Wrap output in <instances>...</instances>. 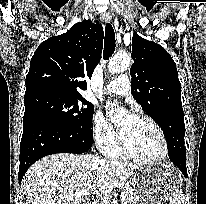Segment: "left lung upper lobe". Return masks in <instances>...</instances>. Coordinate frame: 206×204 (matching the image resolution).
Listing matches in <instances>:
<instances>
[{"label": "left lung upper lobe", "instance_id": "1", "mask_svg": "<svg viewBox=\"0 0 206 204\" xmlns=\"http://www.w3.org/2000/svg\"><path fill=\"white\" fill-rule=\"evenodd\" d=\"M132 51L133 97L162 128L167 143L183 142L185 124L181 84L174 60L162 46L136 32L133 33Z\"/></svg>", "mask_w": 206, "mask_h": 204}]
</instances>
